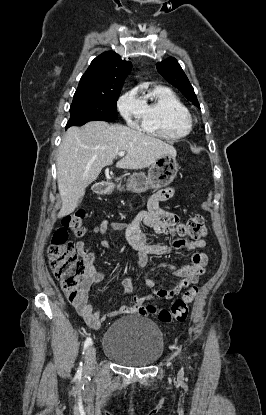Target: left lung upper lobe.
<instances>
[{
	"label": "left lung upper lobe",
	"instance_id": "left-lung-upper-lobe-1",
	"mask_svg": "<svg viewBox=\"0 0 266 415\" xmlns=\"http://www.w3.org/2000/svg\"><path fill=\"white\" fill-rule=\"evenodd\" d=\"M156 66L160 74L169 83L178 88L188 100L193 102L196 107L200 108L194 89L175 58H167L162 62L157 63Z\"/></svg>",
	"mask_w": 266,
	"mask_h": 415
}]
</instances>
